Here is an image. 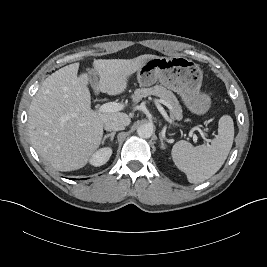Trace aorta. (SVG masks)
I'll list each match as a JSON object with an SVG mask.
<instances>
[{
  "mask_svg": "<svg viewBox=\"0 0 267 267\" xmlns=\"http://www.w3.org/2000/svg\"><path fill=\"white\" fill-rule=\"evenodd\" d=\"M137 134L141 138L148 139L153 134V127L150 124H142L137 129Z\"/></svg>",
  "mask_w": 267,
  "mask_h": 267,
  "instance_id": "1",
  "label": "aorta"
}]
</instances>
